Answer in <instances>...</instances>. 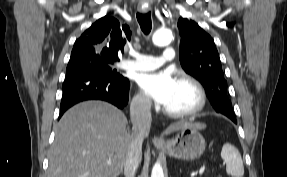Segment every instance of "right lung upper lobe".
Returning a JSON list of instances; mask_svg holds the SVG:
<instances>
[{"label":"right lung upper lobe","instance_id":"obj_1","mask_svg":"<svg viewBox=\"0 0 287 177\" xmlns=\"http://www.w3.org/2000/svg\"><path fill=\"white\" fill-rule=\"evenodd\" d=\"M131 31L127 25L120 26L117 19L104 16L75 41L69 61L86 57H98L105 60H118V52L123 51Z\"/></svg>","mask_w":287,"mask_h":177}]
</instances>
